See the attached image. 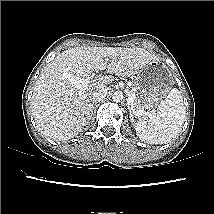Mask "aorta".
I'll use <instances>...</instances> for the list:
<instances>
[{
	"instance_id": "1",
	"label": "aorta",
	"mask_w": 214,
	"mask_h": 214,
	"mask_svg": "<svg viewBox=\"0 0 214 214\" xmlns=\"http://www.w3.org/2000/svg\"><path fill=\"white\" fill-rule=\"evenodd\" d=\"M112 99L114 102L118 103L121 102L123 99V94L121 91H116L113 93Z\"/></svg>"
}]
</instances>
